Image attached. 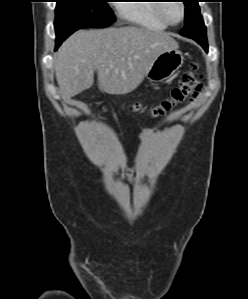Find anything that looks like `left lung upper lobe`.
I'll return each mask as SVG.
<instances>
[{
  "mask_svg": "<svg viewBox=\"0 0 248 299\" xmlns=\"http://www.w3.org/2000/svg\"><path fill=\"white\" fill-rule=\"evenodd\" d=\"M185 10V26L180 32L185 37L196 40L204 49H207L206 27L200 13L199 0H183Z\"/></svg>",
  "mask_w": 248,
  "mask_h": 299,
  "instance_id": "5c2ea615",
  "label": "left lung upper lobe"
}]
</instances>
